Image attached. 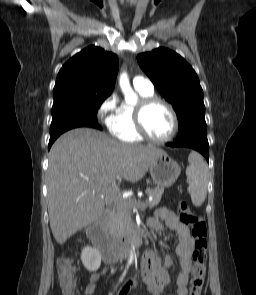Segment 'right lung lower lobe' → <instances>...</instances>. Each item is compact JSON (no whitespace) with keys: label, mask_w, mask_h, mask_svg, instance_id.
<instances>
[{"label":"right lung lower lobe","mask_w":256,"mask_h":295,"mask_svg":"<svg viewBox=\"0 0 256 295\" xmlns=\"http://www.w3.org/2000/svg\"><path fill=\"white\" fill-rule=\"evenodd\" d=\"M77 127H92V128H96V129H100V130L102 129L101 126L98 125L97 119L86 120V121L79 123V124H71V125H66V126L54 128V129L50 130V140H49L48 149H50L53 142L62 133H64L67 130L77 128Z\"/></svg>","instance_id":"98d812e1"}]
</instances>
